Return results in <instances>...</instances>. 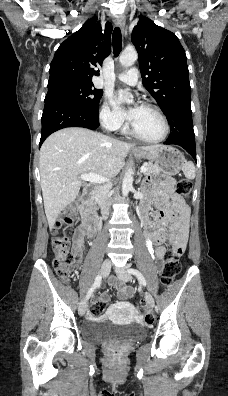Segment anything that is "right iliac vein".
<instances>
[{"instance_id":"right-iliac-vein-1","label":"right iliac vein","mask_w":228,"mask_h":396,"mask_svg":"<svg viewBox=\"0 0 228 396\" xmlns=\"http://www.w3.org/2000/svg\"><path fill=\"white\" fill-rule=\"evenodd\" d=\"M110 269H111V262H110V260L105 259V260L103 261V263H102V266H101V269H100V273H101L103 276H107L108 273L110 272ZM86 309H87V301H86V300H83V301L80 303L79 308H78V313H79V315H80V316H83V315L85 314V312H86Z\"/></svg>"}]
</instances>
